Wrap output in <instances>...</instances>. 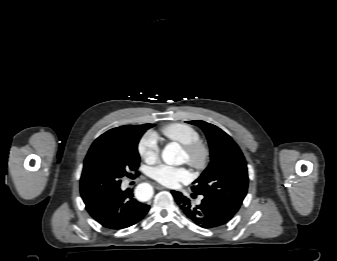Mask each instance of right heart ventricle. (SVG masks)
Returning a JSON list of instances; mask_svg holds the SVG:
<instances>
[{
	"label": "right heart ventricle",
	"instance_id": "1",
	"mask_svg": "<svg viewBox=\"0 0 337 261\" xmlns=\"http://www.w3.org/2000/svg\"><path fill=\"white\" fill-rule=\"evenodd\" d=\"M161 134L167 140L177 142L183 146L200 140L198 130L182 122L170 123L163 126Z\"/></svg>",
	"mask_w": 337,
	"mask_h": 261
}]
</instances>
